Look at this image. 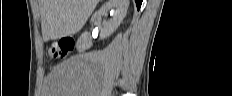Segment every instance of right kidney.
Returning a JSON list of instances; mask_svg holds the SVG:
<instances>
[{
    "label": "right kidney",
    "mask_w": 232,
    "mask_h": 96,
    "mask_svg": "<svg viewBox=\"0 0 232 96\" xmlns=\"http://www.w3.org/2000/svg\"><path fill=\"white\" fill-rule=\"evenodd\" d=\"M129 6L128 0H108L92 17L91 22L96 18L107 15L110 11L112 18L109 21L103 22V29L100 33V39L109 37L121 24L123 18L127 13ZM92 46L89 33H83L77 41V49L83 52Z\"/></svg>",
    "instance_id": "1"
}]
</instances>
